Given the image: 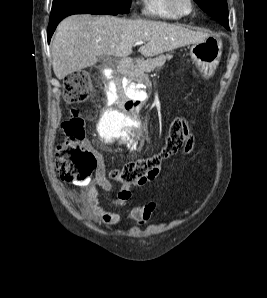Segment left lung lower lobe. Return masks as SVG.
<instances>
[{
    "instance_id": "obj_1",
    "label": "left lung lower lobe",
    "mask_w": 267,
    "mask_h": 298,
    "mask_svg": "<svg viewBox=\"0 0 267 298\" xmlns=\"http://www.w3.org/2000/svg\"><path fill=\"white\" fill-rule=\"evenodd\" d=\"M225 28H227L229 30V25L224 26Z\"/></svg>"
}]
</instances>
